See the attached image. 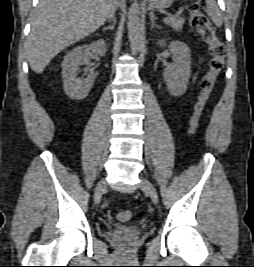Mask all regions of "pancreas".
I'll list each match as a JSON object with an SVG mask.
<instances>
[{
	"mask_svg": "<svg viewBox=\"0 0 254 267\" xmlns=\"http://www.w3.org/2000/svg\"><path fill=\"white\" fill-rule=\"evenodd\" d=\"M166 23L175 31H181L185 18L180 16H173L172 19L166 21Z\"/></svg>",
	"mask_w": 254,
	"mask_h": 267,
	"instance_id": "pancreas-1",
	"label": "pancreas"
}]
</instances>
